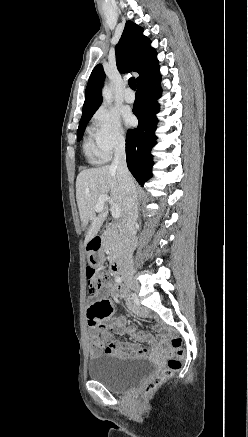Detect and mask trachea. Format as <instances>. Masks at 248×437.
Listing matches in <instances>:
<instances>
[{"label":"trachea","mask_w":248,"mask_h":437,"mask_svg":"<svg viewBox=\"0 0 248 437\" xmlns=\"http://www.w3.org/2000/svg\"><path fill=\"white\" fill-rule=\"evenodd\" d=\"M128 84H129L131 89L136 90V80L134 77L129 78Z\"/></svg>","instance_id":"obj_1"}]
</instances>
